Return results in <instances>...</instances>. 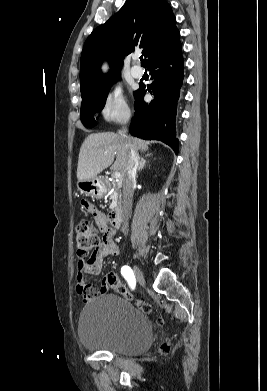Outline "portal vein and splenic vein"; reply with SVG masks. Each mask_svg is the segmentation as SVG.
I'll return each mask as SVG.
<instances>
[{
	"mask_svg": "<svg viewBox=\"0 0 267 391\" xmlns=\"http://www.w3.org/2000/svg\"><path fill=\"white\" fill-rule=\"evenodd\" d=\"M112 177H113V178H120V177H121V174H120L119 171H116V172H114V173L112 174Z\"/></svg>",
	"mask_w": 267,
	"mask_h": 391,
	"instance_id": "obj_1",
	"label": "portal vein and splenic vein"
}]
</instances>
